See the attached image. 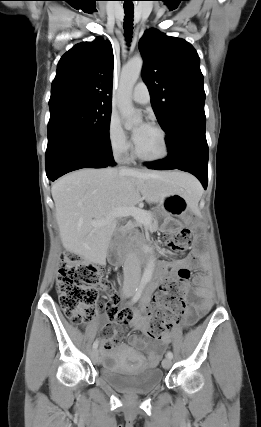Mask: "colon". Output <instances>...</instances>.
<instances>
[{"label":"colon","instance_id":"1","mask_svg":"<svg viewBox=\"0 0 261 427\" xmlns=\"http://www.w3.org/2000/svg\"><path fill=\"white\" fill-rule=\"evenodd\" d=\"M190 241L188 229H181L166 238L173 251L185 250ZM189 276L187 269H180L165 281L163 291H159L148 313L146 331L151 337L159 338L184 314ZM107 286L100 264L87 262L74 253L62 256L56 291L60 306L72 324L86 323L97 311L105 309L106 303L100 300L99 291Z\"/></svg>","mask_w":261,"mask_h":427}]
</instances>
